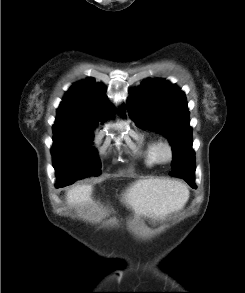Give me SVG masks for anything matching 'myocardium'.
<instances>
[{
    "mask_svg": "<svg viewBox=\"0 0 245 293\" xmlns=\"http://www.w3.org/2000/svg\"><path fill=\"white\" fill-rule=\"evenodd\" d=\"M175 152L172 144L167 141H160L157 147V157L160 162L170 163L174 160Z\"/></svg>",
    "mask_w": 245,
    "mask_h": 293,
    "instance_id": "myocardium-1",
    "label": "myocardium"
}]
</instances>
